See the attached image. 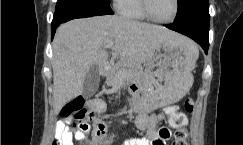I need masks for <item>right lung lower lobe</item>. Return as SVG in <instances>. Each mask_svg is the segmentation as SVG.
<instances>
[{
    "label": "right lung lower lobe",
    "instance_id": "obj_1",
    "mask_svg": "<svg viewBox=\"0 0 243 145\" xmlns=\"http://www.w3.org/2000/svg\"><path fill=\"white\" fill-rule=\"evenodd\" d=\"M51 24L52 39L57 27L75 18L114 14L108 3L100 0H58Z\"/></svg>",
    "mask_w": 243,
    "mask_h": 145
}]
</instances>
